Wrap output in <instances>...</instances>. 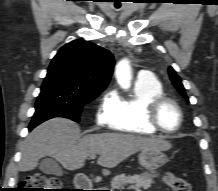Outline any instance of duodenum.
<instances>
[{
	"mask_svg": "<svg viewBox=\"0 0 218 191\" xmlns=\"http://www.w3.org/2000/svg\"><path fill=\"white\" fill-rule=\"evenodd\" d=\"M75 187L77 191H89L92 187V183L87 176L81 174L75 179Z\"/></svg>",
	"mask_w": 218,
	"mask_h": 191,
	"instance_id": "1",
	"label": "duodenum"
}]
</instances>
